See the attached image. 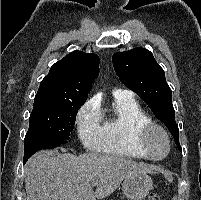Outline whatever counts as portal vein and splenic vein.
Masks as SVG:
<instances>
[{"instance_id":"1","label":"portal vein and splenic vein","mask_w":201,"mask_h":200,"mask_svg":"<svg viewBox=\"0 0 201 200\" xmlns=\"http://www.w3.org/2000/svg\"><path fill=\"white\" fill-rule=\"evenodd\" d=\"M97 182L96 181H92V186H96Z\"/></svg>"}]
</instances>
